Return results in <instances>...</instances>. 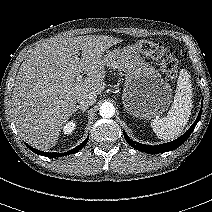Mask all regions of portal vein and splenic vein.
<instances>
[{"instance_id": "1", "label": "portal vein and splenic vein", "mask_w": 212, "mask_h": 212, "mask_svg": "<svg viewBox=\"0 0 212 212\" xmlns=\"http://www.w3.org/2000/svg\"><path fill=\"white\" fill-rule=\"evenodd\" d=\"M81 79H82V75L81 74L77 75L76 80L80 81Z\"/></svg>"}]
</instances>
